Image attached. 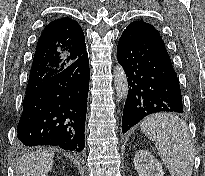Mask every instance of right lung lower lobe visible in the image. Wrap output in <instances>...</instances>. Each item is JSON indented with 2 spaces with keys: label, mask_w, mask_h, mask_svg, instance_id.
Returning a JSON list of instances; mask_svg holds the SVG:
<instances>
[{
  "label": "right lung lower lobe",
  "mask_w": 205,
  "mask_h": 176,
  "mask_svg": "<svg viewBox=\"0 0 205 176\" xmlns=\"http://www.w3.org/2000/svg\"><path fill=\"white\" fill-rule=\"evenodd\" d=\"M89 79L86 52L60 73L26 92L17 127L19 143L82 151Z\"/></svg>",
  "instance_id": "right-lung-lower-lobe-1"
}]
</instances>
